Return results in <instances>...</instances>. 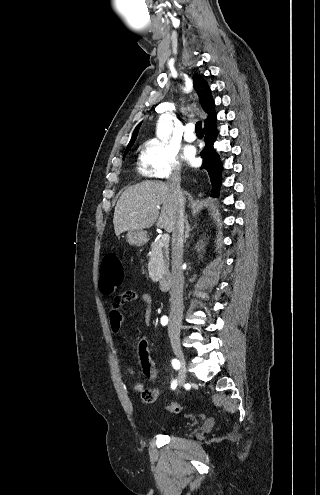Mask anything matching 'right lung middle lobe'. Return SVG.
Here are the masks:
<instances>
[{"label": "right lung middle lobe", "instance_id": "dd1d6c3e", "mask_svg": "<svg viewBox=\"0 0 320 495\" xmlns=\"http://www.w3.org/2000/svg\"><path fill=\"white\" fill-rule=\"evenodd\" d=\"M130 149H126L125 154L129 151Z\"/></svg>", "mask_w": 320, "mask_h": 495}]
</instances>
